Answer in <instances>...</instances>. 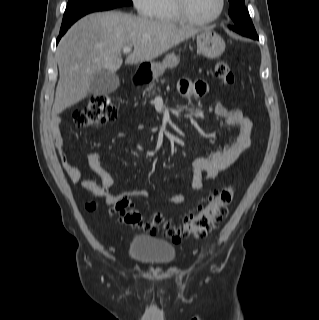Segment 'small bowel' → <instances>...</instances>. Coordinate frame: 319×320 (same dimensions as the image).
Returning <instances> with one entry per match:
<instances>
[{
	"label": "small bowel",
	"mask_w": 319,
	"mask_h": 320,
	"mask_svg": "<svg viewBox=\"0 0 319 320\" xmlns=\"http://www.w3.org/2000/svg\"><path fill=\"white\" fill-rule=\"evenodd\" d=\"M207 92L208 86L204 81L197 80L193 82L187 79L179 81V93L184 97H202ZM214 114L224 119L228 125L235 127L236 137L223 149L214 150L204 156L196 157L192 161L193 178L189 185L190 191L201 190L207 181L214 179L220 172L229 169L251 144L252 121L244 116L241 110L227 109L222 103L218 102L214 106ZM60 123L61 119L59 117H54L51 120V133L64 171L73 183L80 185L84 190L96 196L104 197L108 206L114 205L121 198V195L108 192L114 185V180L103 167V155L99 152H92L88 155V163L100 178L101 184L84 178L81 170L70 159L60 130ZM151 194L152 192L147 189L129 192V195L139 198H148ZM186 200L187 193L181 192L173 195L168 200V203L178 205Z\"/></svg>",
	"instance_id": "small-bowel-1"
}]
</instances>
